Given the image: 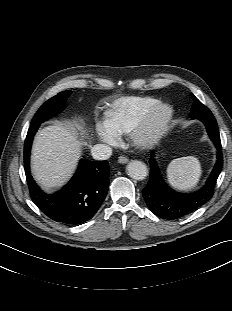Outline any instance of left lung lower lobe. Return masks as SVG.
<instances>
[{"label": "left lung lower lobe", "mask_w": 232, "mask_h": 311, "mask_svg": "<svg viewBox=\"0 0 232 311\" xmlns=\"http://www.w3.org/2000/svg\"><path fill=\"white\" fill-rule=\"evenodd\" d=\"M190 117L201 120L205 124L208 135L217 148V161L202 189L193 194H183L175 192L166 185L160 174L154 154L151 153L149 159L150 177L142 193L149 209L163 219H178L205 204L213 196L215 184L223 166L218 126L212 112Z\"/></svg>", "instance_id": "0a47b994"}]
</instances>
